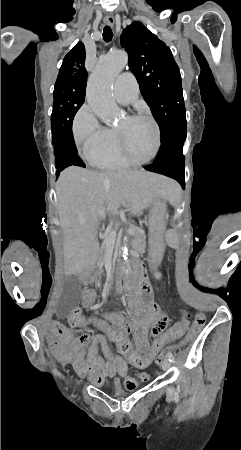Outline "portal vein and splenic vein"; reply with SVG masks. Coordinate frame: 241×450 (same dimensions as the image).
Segmentation results:
<instances>
[{
    "label": "portal vein and splenic vein",
    "instance_id": "18ae733b",
    "mask_svg": "<svg viewBox=\"0 0 241 450\" xmlns=\"http://www.w3.org/2000/svg\"><path fill=\"white\" fill-rule=\"evenodd\" d=\"M128 230H129V232H128L129 234L127 233L126 235L133 236V234L136 233L135 231L137 230V227L133 226L132 228H129ZM116 236H117V234H116L115 230H112V232H108L107 238H105V240H106V242H115Z\"/></svg>",
    "mask_w": 241,
    "mask_h": 450
}]
</instances>
